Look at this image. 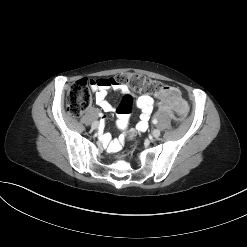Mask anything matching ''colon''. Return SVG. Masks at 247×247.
Instances as JSON below:
<instances>
[{
  "mask_svg": "<svg viewBox=\"0 0 247 247\" xmlns=\"http://www.w3.org/2000/svg\"><path fill=\"white\" fill-rule=\"evenodd\" d=\"M113 82L123 84L128 88L140 92L161 94V104L163 107L176 110L179 116H182L186 111V105L182 100L179 91L174 87H166L160 81L150 79L140 74H122L112 79ZM98 84L97 80H88L86 78L76 81L67 93V110L75 116H81L91 103V88L94 84ZM132 95L127 93L124 95L120 103L117 113L119 123L125 126L128 116L132 110Z\"/></svg>",
  "mask_w": 247,
  "mask_h": 247,
  "instance_id": "1",
  "label": "colon"
}]
</instances>
